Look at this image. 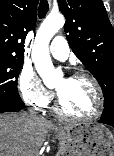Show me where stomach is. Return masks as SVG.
I'll use <instances>...</instances> for the list:
<instances>
[{
	"instance_id": "stomach-1",
	"label": "stomach",
	"mask_w": 114,
	"mask_h": 156,
	"mask_svg": "<svg viewBox=\"0 0 114 156\" xmlns=\"http://www.w3.org/2000/svg\"><path fill=\"white\" fill-rule=\"evenodd\" d=\"M55 131L60 144L57 156H114V136L104 125L79 123Z\"/></svg>"
}]
</instances>
